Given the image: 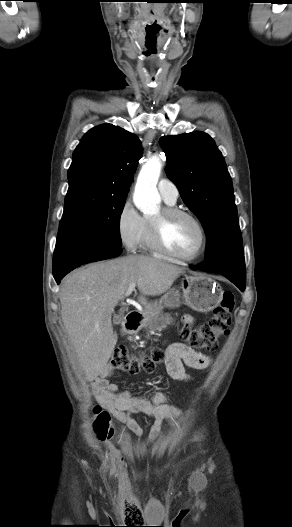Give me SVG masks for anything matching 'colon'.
I'll return each instance as SVG.
<instances>
[{"instance_id": "colon-1", "label": "colon", "mask_w": 292, "mask_h": 527, "mask_svg": "<svg viewBox=\"0 0 292 527\" xmlns=\"http://www.w3.org/2000/svg\"><path fill=\"white\" fill-rule=\"evenodd\" d=\"M235 306V297L231 291H225L220 304L214 309L209 322L193 328L189 324L180 323L177 330L183 340L194 350H214L217 348L220 337L227 335L231 326V315ZM164 360V353L160 348L152 349L148 354L132 355L125 348L120 347L115 350L111 365L121 371L137 374L141 371L152 372L157 364ZM96 414V433L100 440H110L116 434L114 427L110 423V416L101 407L95 408ZM138 515L140 510L136 506H131Z\"/></svg>"}]
</instances>
